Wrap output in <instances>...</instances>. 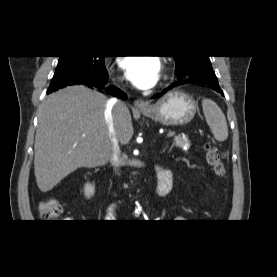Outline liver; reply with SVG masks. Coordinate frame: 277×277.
I'll return each instance as SVG.
<instances>
[{
    "label": "liver",
    "mask_w": 277,
    "mask_h": 277,
    "mask_svg": "<svg viewBox=\"0 0 277 277\" xmlns=\"http://www.w3.org/2000/svg\"><path fill=\"white\" fill-rule=\"evenodd\" d=\"M106 104L103 94L75 85L52 93L39 107L34 173L42 192L80 167L108 162L112 142L104 118ZM112 117L116 138L127 144L133 136L129 109L114 107Z\"/></svg>",
    "instance_id": "obj_1"
}]
</instances>
